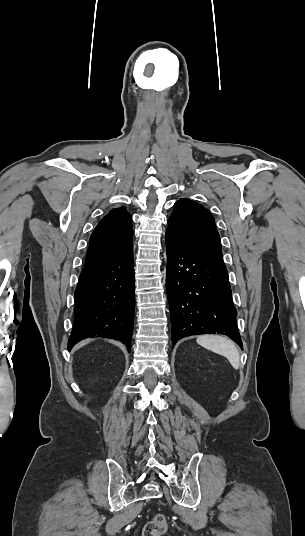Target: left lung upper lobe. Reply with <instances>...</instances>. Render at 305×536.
I'll return each mask as SVG.
<instances>
[{
    "label": "left lung upper lobe",
    "mask_w": 305,
    "mask_h": 536,
    "mask_svg": "<svg viewBox=\"0 0 305 536\" xmlns=\"http://www.w3.org/2000/svg\"><path fill=\"white\" fill-rule=\"evenodd\" d=\"M166 235L188 248L222 255L213 216L204 206L189 199L175 203Z\"/></svg>",
    "instance_id": "left-lung-upper-lobe-1"
}]
</instances>
